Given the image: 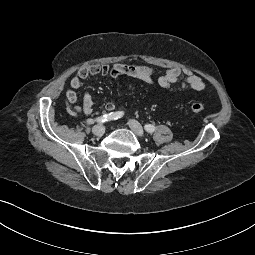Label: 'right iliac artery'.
Returning <instances> with one entry per match:
<instances>
[{"instance_id":"obj_1","label":"right iliac artery","mask_w":255,"mask_h":255,"mask_svg":"<svg viewBox=\"0 0 255 255\" xmlns=\"http://www.w3.org/2000/svg\"><path fill=\"white\" fill-rule=\"evenodd\" d=\"M123 115H124L123 111L112 112V113L105 114L103 116L96 118L95 121L97 123L101 124V123H104L107 121L116 120L118 118H121Z\"/></svg>"}]
</instances>
